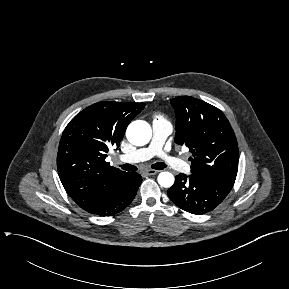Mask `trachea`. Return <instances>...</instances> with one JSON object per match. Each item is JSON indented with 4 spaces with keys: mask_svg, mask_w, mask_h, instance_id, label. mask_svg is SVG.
<instances>
[{
    "mask_svg": "<svg viewBox=\"0 0 289 289\" xmlns=\"http://www.w3.org/2000/svg\"><path fill=\"white\" fill-rule=\"evenodd\" d=\"M165 167H166V164L163 162H158V163H155L152 165V168L157 169V170H162ZM121 168L123 170H126V171H136L137 170V167L134 165H131V164H124L121 166Z\"/></svg>",
    "mask_w": 289,
    "mask_h": 289,
    "instance_id": "obj_1",
    "label": "trachea"
}]
</instances>
